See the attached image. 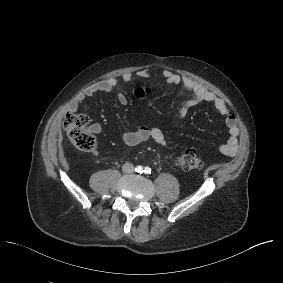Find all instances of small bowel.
<instances>
[{"label": "small bowel", "mask_w": 283, "mask_h": 283, "mask_svg": "<svg viewBox=\"0 0 283 283\" xmlns=\"http://www.w3.org/2000/svg\"><path fill=\"white\" fill-rule=\"evenodd\" d=\"M161 76L165 83L174 86L182 85L185 89L192 92V96L183 104L185 113H187L189 109L202 103H211L214 106L216 111L225 119V124L228 129V138L226 142L219 147V150L226 156H234L238 150L239 128L236 118L230 113L229 107L225 101L190 77L178 75L170 70L163 71ZM150 77H152L151 71L149 69H142L136 72L125 73L122 79L125 82H130L134 79H148ZM117 84V79L111 77L88 86L72 101L71 109L76 110L87 98L98 92H111L116 88ZM117 101L120 105H126L128 102L124 94H119ZM89 132L94 135L100 134V124L94 123L90 125ZM121 138L127 146H136L148 140H153L163 147L168 146L167 138L164 132L159 128L142 126L134 131L122 132Z\"/></svg>", "instance_id": "1"}]
</instances>
